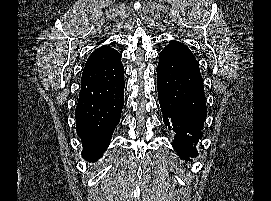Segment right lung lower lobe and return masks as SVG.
Here are the masks:
<instances>
[{
  "label": "right lung lower lobe",
  "mask_w": 271,
  "mask_h": 201,
  "mask_svg": "<svg viewBox=\"0 0 271 201\" xmlns=\"http://www.w3.org/2000/svg\"><path fill=\"white\" fill-rule=\"evenodd\" d=\"M124 87L121 54L109 46L95 50L83 70L75 111L84 159L96 161L108 147L120 121Z\"/></svg>",
  "instance_id": "98d812e1"
}]
</instances>
